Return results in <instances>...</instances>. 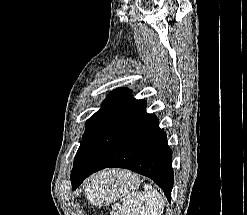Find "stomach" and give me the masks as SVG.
Here are the masks:
<instances>
[{
  "label": "stomach",
  "instance_id": "stomach-1",
  "mask_svg": "<svg viewBox=\"0 0 247 215\" xmlns=\"http://www.w3.org/2000/svg\"><path fill=\"white\" fill-rule=\"evenodd\" d=\"M103 172L92 178L86 188V194L94 205L108 203L125 194V191L137 188L138 180L131 174L121 175Z\"/></svg>",
  "mask_w": 247,
  "mask_h": 215
}]
</instances>
